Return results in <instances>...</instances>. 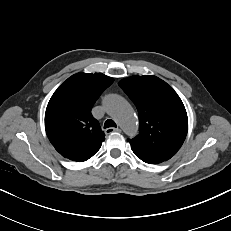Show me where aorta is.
Returning <instances> with one entry per match:
<instances>
[{"label":"aorta","mask_w":231,"mask_h":231,"mask_svg":"<svg viewBox=\"0 0 231 231\" xmlns=\"http://www.w3.org/2000/svg\"><path fill=\"white\" fill-rule=\"evenodd\" d=\"M106 111L120 124L123 131L134 136L137 133L136 119L129 103L121 96L112 94L104 100Z\"/></svg>","instance_id":"762f6f07"}]
</instances>
